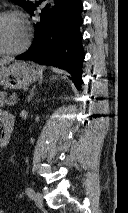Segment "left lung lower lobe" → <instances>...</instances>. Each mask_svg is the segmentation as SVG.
Segmentation results:
<instances>
[{"mask_svg": "<svg viewBox=\"0 0 128 213\" xmlns=\"http://www.w3.org/2000/svg\"><path fill=\"white\" fill-rule=\"evenodd\" d=\"M35 5L28 11L34 15ZM81 0H55L49 13L47 6L42 9L41 21L35 25L32 46L16 57L33 60L67 70L73 75L75 86L80 89L84 50L79 27L83 23Z\"/></svg>", "mask_w": 128, "mask_h": 213, "instance_id": "left-lung-lower-lobe-1", "label": "left lung lower lobe"}]
</instances>
